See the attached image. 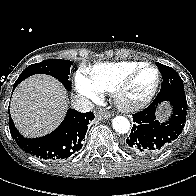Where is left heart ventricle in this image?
I'll use <instances>...</instances> for the list:
<instances>
[{"instance_id":"1","label":"left heart ventricle","mask_w":196,"mask_h":196,"mask_svg":"<svg viewBox=\"0 0 196 196\" xmlns=\"http://www.w3.org/2000/svg\"><path fill=\"white\" fill-rule=\"evenodd\" d=\"M156 72L152 69L143 70L127 90L126 98L137 101L144 98L156 82Z\"/></svg>"}]
</instances>
